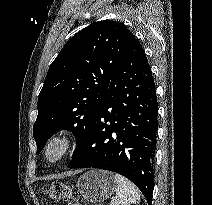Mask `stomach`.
<instances>
[{
	"label": "stomach",
	"instance_id": "obj_1",
	"mask_svg": "<svg viewBox=\"0 0 212 205\" xmlns=\"http://www.w3.org/2000/svg\"><path fill=\"white\" fill-rule=\"evenodd\" d=\"M76 187L81 197L90 203L107 200L116 189V182L111 172L105 170H90L80 176Z\"/></svg>",
	"mask_w": 212,
	"mask_h": 205
}]
</instances>
